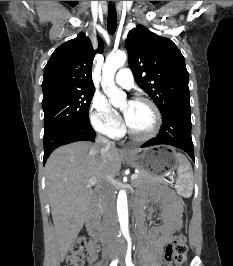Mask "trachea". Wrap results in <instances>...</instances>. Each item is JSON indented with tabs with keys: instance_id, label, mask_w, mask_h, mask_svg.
I'll list each match as a JSON object with an SVG mask.
<instances>
[{
	"instance_id": "3493384b",
	"label": "trachea",
	"mask_w": 233,
	"mask_h": 266,
	"mask_svg": "<svg viewBox=\"0 0 233 266\" xmlns=\"http://www.w3.org/2000/svg\"><path fill=\"white\" fill-rule=\"evenodd\" d=\"M117 27V13L114 4L109 3L108 8V20H107V28L109 34L113 35L116 31Z\"/></svg>"
}]
</instances>
